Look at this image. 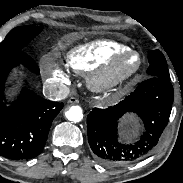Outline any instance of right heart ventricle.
Returning <instances> with one entry per match:
<instances>
[{
	"instance_id": "e07e8e85",
	"label": "right heart ventricle",
	"mask_w": 183,
	"mask_h": 183,
	"mask_svg": "<svg viewBox=\"0 0 183 183\" xmlns=\"http://www.w3.org/2000/svg\"><path fill=\"white\" fill-rule=\"evenodd\" d=\"M129 49L126 45L107 39L91 41L69 50L67 66L78 74H86L101 67L115 53Z\"/></svg>"
}]
</instances>
